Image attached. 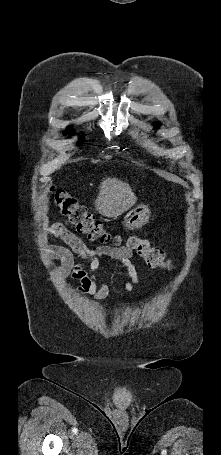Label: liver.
Here are the masks:
<instances>
[{
  "mask_svg": "<svg viewBox=\"0 0 221 455\" xmlns=\"http://www.w3.org/2000/svg\"><path fill=\"white\" fill-rule=\"evenodd\" d=\"M137 201L128 183L117 178L104 179L95 200L96 210L103 216L115 218L129 210Z\"/></svg>",
  "mask_w": 221,
  "mask_h": 455,
  "instance_id": "1",
  "label": "liver"
}]
</instances>
